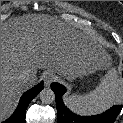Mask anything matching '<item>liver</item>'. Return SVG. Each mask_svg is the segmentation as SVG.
I'll list each match as a JSON object with an SVG mask.
<instances>
[{"label":"liver","instance_id":"obj_1","mask_svg":"<svg viewBox=\"0 0 123 123\" xmlns=\"http://www.w3.org/2000/svg\"><path fill=\"white\" fill-rule=\"evenodd\" d=\"M102 48L84 34L45 14H26L1 24V122L36 82L37 69L68 79L92 72ZM28 72L29 81L21 75Z\"/></svg>","mask_w":123,"mask_h":123}]
</instances>
